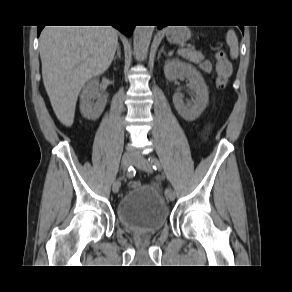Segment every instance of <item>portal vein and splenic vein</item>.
Returning <instances> with one entry per match:
<instances>
[{
    "mask_svg": "<svg viewBox=\"0 0 292 292\" xmlns=\"http://www.w3.org/2000/svg\"><path fill=\"white\" fill-rule=\"evenodd\" d=\"M182 52H184V49H179V50H178V53H179V54L182 53Z\"/></svg>",
    "mask_w": 292,
    "mask_h": 292,
    "instance_id": "18ae733b",
    "label": "portal vein and splenic vein"
}]
</instances>
